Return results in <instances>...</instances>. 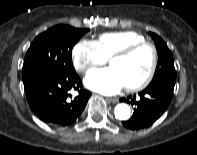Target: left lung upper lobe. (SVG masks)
Wrapping results in <instances>:
<instances>
[{"label": "left lung upper lobe", "instance_id": "obj_1", "mask_svg": "<svg viewBox=\"0 0 197 155\" xmlns=\"http://www.w3.org/2000/svg\"><path fill=\"white\" fill-rule=\"evenodd\" d=\"M150 34L154 40L159 58L154 78L149 85L165 84L174 87L176 82V71L172 53L166 43L157 34Z\"/></svg>", "mask_w": 197, "mask_h": 155}]
</instances>
